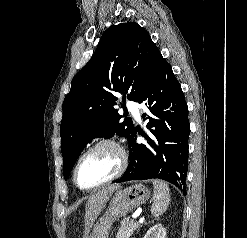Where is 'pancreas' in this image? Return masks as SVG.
<instances>
[{
    "instance_id": "1",
    "label": "pancreas",
    "mask_w": 247,
    "mask_h": 238,
    "mask_svg": "<svg viewBox=\"0 0 247 238\" xmlns=\"http://www.w3.org/2000/svg\"><path fill=\"white\" fill-rule=\"evenodd\" d=\"M139 224L133 220H123L116 234V238H129L137 229Z\"/></svg>"
}]
</instances>
